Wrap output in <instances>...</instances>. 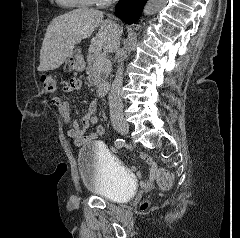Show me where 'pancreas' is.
Instances as JSON below:
<instances>
[{
	"label": "pancreas",
	"instance_id": "1",
	"mask_svg": "<svg viewBox=\"0 0 240 238\" xmlns=\"http://www.w3.org/2000/svg\"><path fill=\"white\" fill-rule=\"evenodd\" d=\"M100 59H105V58L101 57L99 54L98 55L89 54L87 56V63H88V66L86 68V73L88 75L87 78H88V81L91 83V85L96 87H99L103 83V81L106 79L110 70V64L101 65L99 62Z\"/></svg>",
	"mask_w": 240,
	"mask_h": 238
}]
</instances>
